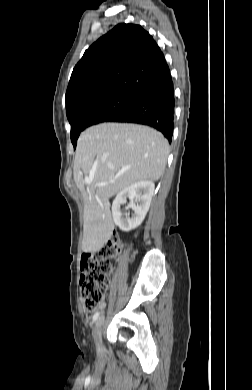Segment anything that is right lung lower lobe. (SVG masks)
<instances>
[{
	"label": "right lung lower lobe",
	"instance_id": "right-lung-lower-lobe-1",
	"mask_svg": "<svg viewBox=\"0 0 252 390\" xmlns=\"http://www.w3.org/2000/svg\"><path fill=\"white\" fill-rule=\"evenodd\" d=\"M174 86L171 75L149 84L133 102L106 122H128L151 126L171 142L174 127Z\"/></svg>",
	"mask_w": 252,
	"mask_h": 390
}]
</instances>
